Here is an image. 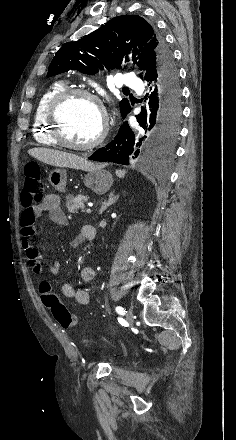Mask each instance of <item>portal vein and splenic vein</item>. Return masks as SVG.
<instances>
[{
  "label": "portal vein and splenic vein",
  "instance_id": "1",
  "mask_svg": "<svg viewBox=\"0 0 236 440\" xmlns=\"http://www.w3.org/2000/svg\"><path fill=\"white\" fill-rule=\"evenodd\" d=\"M86 212H87V213H91V208L88 207V208L86 209Z\"/></svg>",
  "mask_w": 236,
  "mask_h": 440
}]
</instances>
